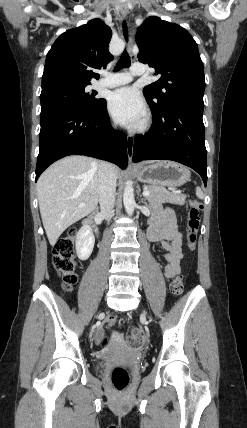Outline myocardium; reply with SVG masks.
<instances>
[{
  "label": "myocardium",
  "mask_w": 247,
  "mask_h": 428,
  "mask_svg": "<svg viewBox=\"0 0 247 428\" xmlns=\"http://www.w3.org/2000/svg\"><path fill=\"white\" fill-rule=\"evenodd\" d=\"M149 126V120H146L144 123H143V128H147Z\"/></svg>",
  "instance_id": "obj_1"
}]
</instances>
